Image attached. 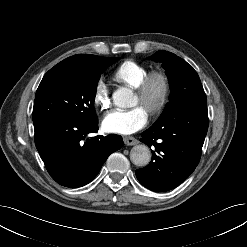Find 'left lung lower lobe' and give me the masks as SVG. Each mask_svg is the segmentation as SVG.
I'll list each match as a JSON object with an SVG mask.
<instances>
[{
  "mask_svg": "<svg viewBox=\"0 0 247 247\" xmlns=\"http://www.w3.org/2000/svg\"><path fill=\"white\" fill-rule=\"evenodd\" d=\"M207 130V105L157 120L140 139L153 150L151 162L136 170L139 182L160 192L181 184L199 163Z\"/></svg>",
  "mask_w": 247,
  "mask_h": 247,
  "instance_id": "obj_1",
  "label": "left lung lower lobe"
}]
</instances>
